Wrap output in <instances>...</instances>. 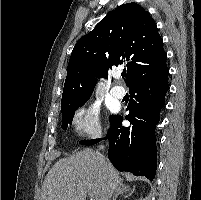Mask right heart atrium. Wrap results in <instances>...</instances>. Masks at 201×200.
<instances>
[{"label": "right heart atrium", "mask_w": 201, "mask_h": 200, "mask_svg": "<svg viewBox=\"0 0 201 200\" xmlns=\"http://www.w3.org/2000/svg\"><path fill=\"white\" fill-rule=\"evenodd\" d=\"M74 129L77 133L90 138H97L102 134L99 109L95 105L80 108L73 118Z\"/></svg>", "instance_id": "right-heart-atrium-1"}]
</instances>
